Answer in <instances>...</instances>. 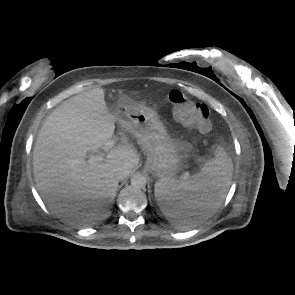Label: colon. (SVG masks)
I'll list each match as a JSON object with an SVG mask.
<instances>
[{
    "label": "colon",
    "mask_w": 295,
    "mask_h": 295,
    "mask_svg": "<svg viewBox=\"0 0 295 295\" xmlns=\"http://www.w3.org/2000/svg\"><path fill=\"white\" fill-rule=\"evenodd\" d=\"M165 99L171 104L174 116L184 125L194 127L202 133L211 130L210 112L206 105L196 103L191 97L177 90L167 92Z\"/></svg>",
    "instance_id": "colon-1"
}]
</instances>
